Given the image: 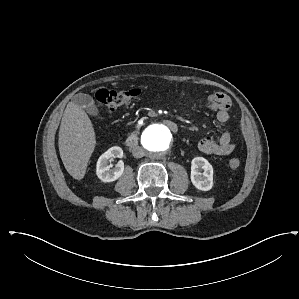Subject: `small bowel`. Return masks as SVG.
<instances>
[{
  "label": "small bowel",
  "instance_id": "obj_1",
  "mask_svg": "<svg viewBox=\"0 0 299 299\" xmlns=\"http://www.w3.org/2000/svg\"><path fill=\"white\" fill-rule=\"evenodd\" d=\"M191 105L192 107L205 106L209 108L215 112L216 119L220 123H226L229 120L228 111L231 106V100L224 93L211 94L204 100L193 101ZM198 149L205 154L226 156L234 151L235 144L231 141L230 133L225 131L218 139L212 137L203 138L198 143Z\"/></svg>",
  "mask_w": 299,
  "mask_h": 299
}]
</instances>
